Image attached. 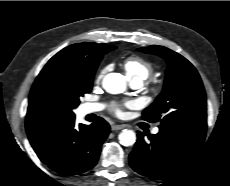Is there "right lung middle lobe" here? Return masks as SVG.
Segmentation results:
<instances>
[{
	"mask_svg": "<svg viewBox=\"0 0 230 186\" xmlns=\"http://www.w3.org/2000/svg\"><path fill=\"white\" fill-rule=\"evenodd\" d=\"M116 47L108 45L100 52L92 65L77 66L66 71L57 72L50 80V92L55 101L64 108L69 117H74L72 109L80 103L79 98L89 93L92 88L93 77L103 54Z\"/></svg>",
	"mask_w": 230,
	"mask_h": 186,
	"instance_id": "1",
	"label": "right lung middle lobe"
}]
</instances>
